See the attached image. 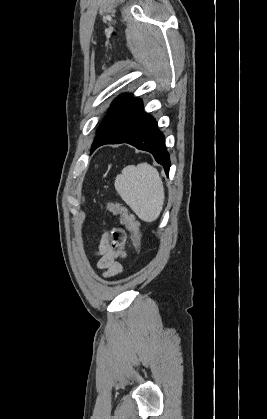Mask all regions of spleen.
Masks as SVG:
<instances>
[{"instance_id":"obj_1","label":"spleen","mask_w":267,"mask_h":419,"mask_svg":"<svg viewBox=\"0 0 267 419\" xmlns=\"http://www.w3.org/2000/svg\"><path fill=\"white\" fill-rule=\"evenodd\" d=\"M115 189L134 213L145 222L155 221L165 199L162 179L146 162L126 166L115 179Z\"/></svg>"}]
</instances>
